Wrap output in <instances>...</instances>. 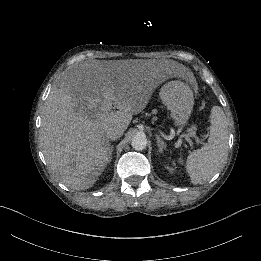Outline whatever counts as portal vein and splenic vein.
<instances>
[{"label":"portal vein and splenic vein","mask_w":261,"mask_h":261,"mask_svg":"<svg viewBox=\"0 0 261 261\" xmlns=\"http://www.w3.org/2000/svg\"><path fill=\"white\" fill-rule=\"evenodd\" d=\"M206 135H208V132H203L202 134H189L187 135H181V139L179 142L175 143V147L179 148L181 145H183L185 143V141H188V143L190 144V146L193 145V142L191 140H195L197 143V148H200V141L199 138H204Z\"/></svg>","instance_id":"1"}]
</instances>
